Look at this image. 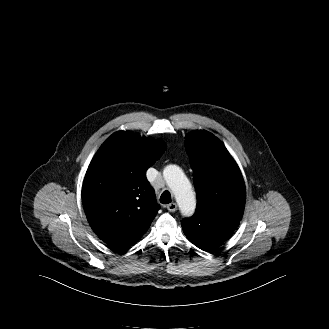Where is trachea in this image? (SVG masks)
<instances>
[{
  "label": "trachea",
  "instance_id": "3493384b",
  "mask_svg": "<svg viewBox=\"0 0 329 329\" xmlns=\"http://www.w3.org/2000/svg\"><path fill=\"white\" fill-rule=\"evenodd\" d=\"M160 202L162 204H168L171 202V194L169 191H164L160 197Z\"/></svg>",
  "mask_w": 329,
  "mask_h": 329
}]
</instances>
